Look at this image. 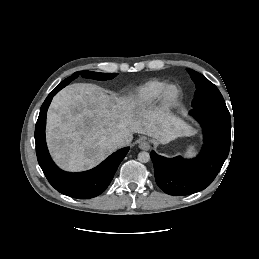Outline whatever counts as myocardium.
Wrapping results in <instances>:
<instances>
[{"mask_svg":"<svg viewBox=\"0 0 259 259\" xmlns=\"http://www.w3.org/2000/svg\"><path fill=\"white\" fill-rule=\"evenodd\" d=\"M183 98V91L177 84H167L160 96L163 108L169 110L177 107Z\"/></svg>","mask_w":259,"mask_h":259,"instance_id":"obj_1","label":"myocardium"}]
</instances>
